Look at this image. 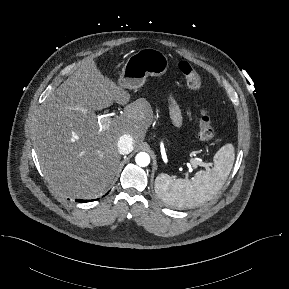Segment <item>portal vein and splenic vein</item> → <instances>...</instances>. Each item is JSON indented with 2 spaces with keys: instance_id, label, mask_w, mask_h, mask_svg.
Segmentation results:
<instances>
[{
  "instance_id": "1",
  "label": "portal vein and splenic vein",
  "mask_w": 289,
  "mask_h": 289,
  "mask_svg": "<svg viewBox=\"0 0 289 289\" xmlns=\"http://www.w3.org/2000/svg\"><path fill=\"white\" fill-rule=\"evenodd\" d=\"M100 123L103 125V127H108L111 124L112 121V115L111 114H106L102 116L100 119ZM190 163L192 167L195 169L197 166L205 167L206 169H209L210 166H212L211 163H205L201 159H190ZM189 172H192V169L189 170ZM186 177L189 176V173L187 172Z\"/></svg>"
}]
</instances>
